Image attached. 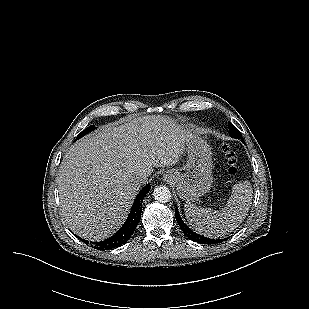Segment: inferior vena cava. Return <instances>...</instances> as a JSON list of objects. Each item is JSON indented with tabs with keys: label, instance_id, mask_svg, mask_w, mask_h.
Segmentation results:
<instances>
[{
	"label": "inferior vena cava",
	"instance_id": "inferior-vena-cava-1",
	"mask_svg": "<svg viewBox=\"0 0 309 309\" xmlns=\"http://www.w3.org/2000/svg\"><path fill=\"white\" fill-rule=\"evenodd\" d=\"M147 181V177L144 174H139L133 177V182L137 186H141Z\"/></svg>",
	"mask_w": 309,
	"mask_h": 309
}]
</instances>
